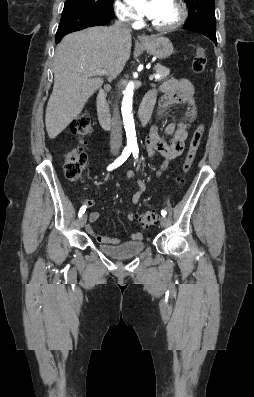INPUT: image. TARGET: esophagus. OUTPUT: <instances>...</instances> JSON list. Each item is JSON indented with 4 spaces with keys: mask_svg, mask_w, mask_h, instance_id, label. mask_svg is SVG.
Listing matches in <instances>:
<instances>
[{
    "mask_svg": "<svg viewBox=\"0 0 254 397\" xmlns=\"http://www.w3.org/2000/svg\"><path fill=\"white\" fill-rule=\"evenodd\" d=\"M138 39L140 40V42H147L149 40V37L145 34L139 35Z\"/></svg>",
    "mask_w": 254,
    "mask_h": 397,
    "instance_id": "esophagus-1",
    "label": "esophagus"
}]
</instances>
